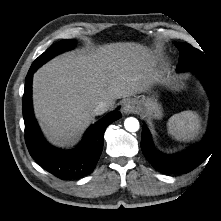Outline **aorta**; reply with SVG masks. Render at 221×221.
I'll return each mask as SVG.
<instances>
[{
    "label": "aorta",
    "mask_w": 221,
    "mask_h": 221,
    "mask_svg": "<svg viewBox=\"0 0 221 221\" xmlns=\"http://www.w3.org/2000/svg\"><path fill=\"white\" fill-rule=\"evenodd\" d=\"M124 127L129 132H136L139 130V121L134 117H129L124 121Z\"/></svg>",
    "instance_id": "aorta-1"
}]
</instances>
